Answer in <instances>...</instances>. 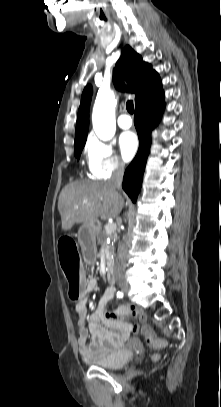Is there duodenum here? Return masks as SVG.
Wrapping results in <instances>:
<instances>
[{"label":"duodenum","instance_id":"1","mask_svg":"<svg viewBox=\"0 0 221 407\" xmlns=\"http://www.w3.org/2000/svg\"><path fill=\"white\" fill-rule=\"evenodd\" d=\"M107 279L110 283H114L115 281V275H114V270L112 267H108L107 269Z\"/></svg>","mask_w":221,"mask_h":407}]
</instances>
